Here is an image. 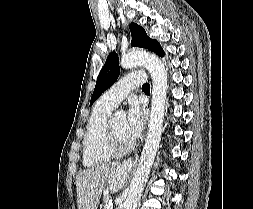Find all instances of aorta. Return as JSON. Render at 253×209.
Segmentation results:
<instances>
[{
  "mask_svg": "<svg viewBox=\"0 0 253 209\" xmlns=\"http://www.w3.org/2000/svg\"><path fill=\"white\" fill-rule=\"evenodd\" d=\"M120 66L124 69L144 66L150 72L153 80L147 137L138 168L124 202V209H136L159 148L167 93V71L158 57L146 52H133L123 56Z\"/></svg>",
  "mask_w": 253,
  "mask_h": 209,
  "instance_id": "762f6f07",
  "label": "aorta"
}]
</instances>
